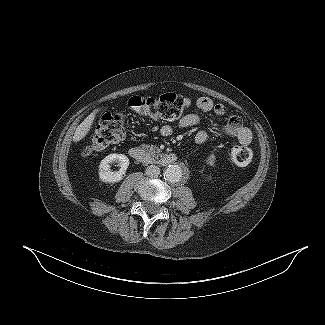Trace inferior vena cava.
Here are the masks:
<instances>
[{"instance_id": "inferior-vena-cava-1", "label": "inferior vena cava", "mask_w": 325, "mask_h": 325, "mask_svg": "<svg viewBox=\"0 0 325 325\" xmlns=\"http://www.w3.org/2000/svg\"><path fill=\"white\" fill-rule=\"evenodd\" d=\"M145 174L149 177H158L160 174V168L156 165H150L146 168Z\"/></svg>"}]
</instances>
